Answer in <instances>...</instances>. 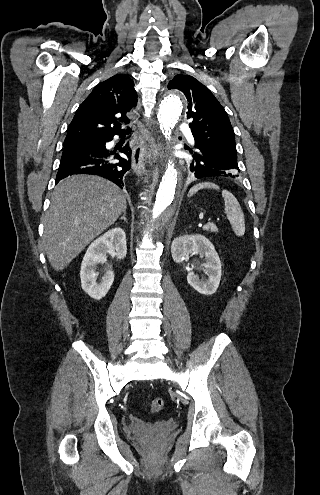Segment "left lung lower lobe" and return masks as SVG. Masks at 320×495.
<instances>
[{
    "label": "left lung lower lobe",
    "instance_id": "0a47b994",
    "mask_svg": "<svg viewBox=\"0 0 320 495\" xmlns=\"http://www.w3.org/2000/svg\"><path fill=\"white\" fill-rule=\"evenodd\" d=\"M193 161L190 171L196 178L226 176L238 177L240 169L237 160L219 153L216 150L195 142L191 149Z\"/></svg>",
    "mask_w": 320,
    "mask_h": 495
}]
</instances>
